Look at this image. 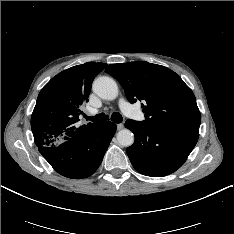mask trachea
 <instances>
[{
    "instance_id": "1",
    "label": "trachea",
    "mask_w": 234,
    "mask_h": 234,
    "mask_svg": "<svg viewBox=\"0 0 234 234\" xmlns=\"http://www.w3.org/2000/svg\"><path fill=\"white\" fill-rule=\"evenodd\" d=\"M85 118L87 120L94 122V123H100V122H104V121L108 120L107 115H105L104 113L97 114L93 117L85 116ZM111 120L115 123H121L123 118H122V115L120 113L115 112L111 115Z\"/></svg>"
}]
</instances>
